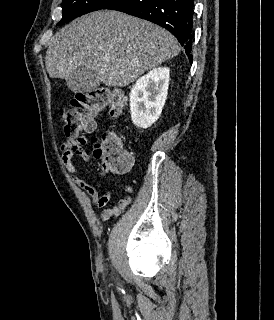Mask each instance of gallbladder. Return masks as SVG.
Instances as JSON below:
<instances>
[{
  "mask_svg": "<svg viewBox=\"0 0 274 320\" xmlns=\"http://www.w3.org/2000/svg\"><path fill=\"white\" fill-rule=\"evenodd\" d=\"M68 83L71 85V94L79 95L96 89L103 84V79L97 78L93 68H71Z\"/></svg>",
  "mask_w": 274,
  "mask_h": 320,
  "instance_id": "gallbladder-1",
  "label": "gallbladder"
}]
</instances>
